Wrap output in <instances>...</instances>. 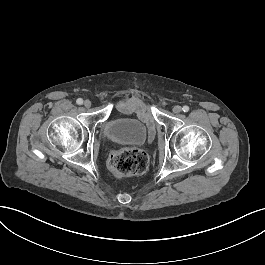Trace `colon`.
Instances as JSON below:
<instances>
[{
    "mask_svg": "<svg viewBox=\"0 0 265 265\" xmlns=\"http://www.w3.org/2000/svg\"><path fill=\"white\" fill-rule=\"evenodd\" d=\"M149 164V157L143 148L127 147L110 156L108 168L117 177L143 174Z\"/></svg>",
    "mask_w": 265,
    "mask_h": 265,
    "instance_id": "obj_1",
    "label": "colon"
}]
</instances>
